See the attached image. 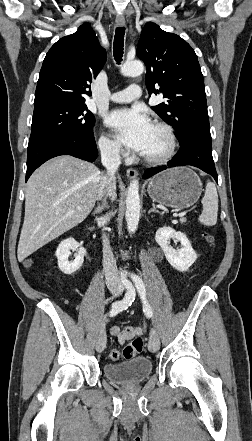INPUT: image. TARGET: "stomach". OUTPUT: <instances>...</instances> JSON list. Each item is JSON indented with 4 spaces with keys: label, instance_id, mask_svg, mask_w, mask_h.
I'll return each instance as SVG.
<instances>
[{
    "label": "stomach",
    "instance_id": "1",
    "mask_svg": "<svg viewBox=\"0 0 252 441\" xmlns=\"http://www.w3.org/2000/svg\"><path fill=\"white\" fill-rule=\"evenodd\" d=\"M153 201L175 209L195 204L201 193L198 175L188 167H176L154 176L147 188Z\"/></svg>",
    "mask_w": 252,
    "mask_h": 441
}]
</instances>
